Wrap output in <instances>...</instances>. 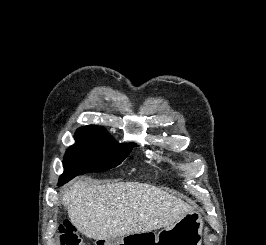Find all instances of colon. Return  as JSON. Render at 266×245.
Here are the masks:
<instances>
[{
	"label": "colon",
	"mask_w": 266,
	"mask_h": 245,
	"mask_svg": "<svg viewBox=\"0 0 266 245\" xmlns=\"http://www.w3.org/2000/svg\"><path fill=\"white\" fill-rule=\"evenodd\" d=\"M60 245H85L74 224L68 219H64L60 226Z\"/></svg>",
	"instance_id": "obj_1"
}]
</instances>
